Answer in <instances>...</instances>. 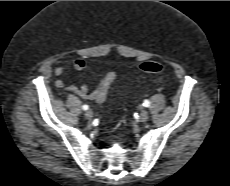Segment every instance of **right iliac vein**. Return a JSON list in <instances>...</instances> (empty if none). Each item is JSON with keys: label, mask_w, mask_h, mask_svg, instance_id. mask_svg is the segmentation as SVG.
<instances>
[{"label": "right iliac vein", "mask_w": 230, "mask_h": 186, "mask_svg": "<svg viewBox=\"0 0 230 186\" xmlns=\"http://www.w3.org/2000/svg\"><path fill=\"white\" fill-rule=\"evenodd\" d=\"M93 117V112L91 110H87L85 112V118L88 119V120H91Z\"/></svg>", "instance_id": "right-iliac-vein-1"}]
</instances>
